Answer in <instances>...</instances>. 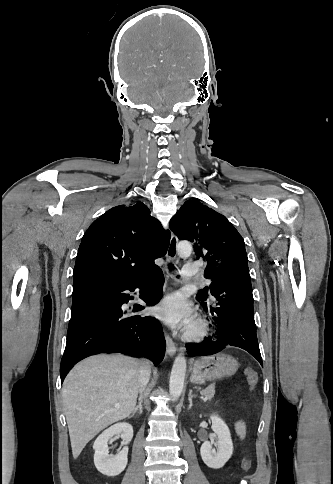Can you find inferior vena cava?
<instances>
[{
  "label": "inferior vena cava",
  "instance_id": "602c4592",
  "mask_svg": "<svg viewBox=\"0 0 333 484\" xmlns=\"http://www.w3.org/2000/svg\"><path fill=\"white\" fill-rule=\"evenodd\" d=\"M150 364L148 360H143L141 362V367L139 371V385H140V393H142L148 384L149 378H150Z\"/></svg>",
  "mask_w": 333,
  "mask_h": 484
}]
</instances>
